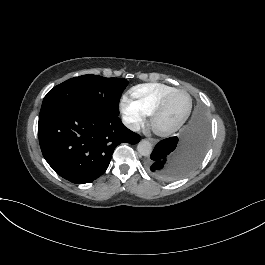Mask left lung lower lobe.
I'll list each match as a JSON object with an SVG mask.
<instances>
[{"label":"left lung lower lobe","mask_w":265,"mask_h":265,"mask_svg":"<svg viewBox=\"0 0 265 265\" xmlns=\"http://www.w3.org/2000/svg\"><path fill=\"white\" fill-rule=\"evenodd\" d=\"M209 142V122L198 106L177 137L161 140L146 161L148 173L161 181L179 179L194 170L203 159Z\"/></svg>","instance_id":"left-lung-lower-lobe-1"}]
</instances>
